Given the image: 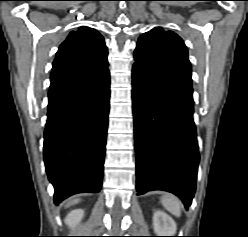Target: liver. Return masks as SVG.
Instances as JSON below:
<instances>
[{
    "label": "liver",
    "instance_id": "1",
    "mask_svg": "<svg viewBox=\"0 0 248 237\" xmlns=\"http://www.w3.org/2000/svg\"><path fill=\"white\" fill-rule=\"evenodd\" d=\"M77 202H79V199L71 200V201H69V202L67 203L66 207H68V206H70V205H72V204H75V203H77Z\"/></svg>",
    "mask_w": 248,
    "mask_h": 237
}]
</instances>
